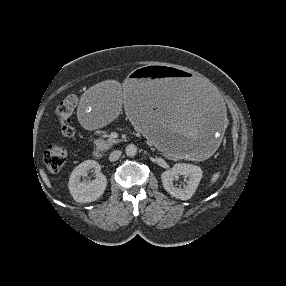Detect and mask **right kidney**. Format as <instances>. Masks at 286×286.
Returning <instances> with one entry per match:
<instances>
[{
	"instance_id": "1",
	"label": "right kidney",
	"mask_w": 286,
	"mask_h": 286,
	"mask_svg": "<svg viewBox=\"0 0 286 286\" xmlns=\"http://www.w3.org/2000/svg\"><path fill=\"white\" fill-rule=\"evenodd\" d=\"M89 171L96 173V178L90 182H81V177ZM101 167L95 160H86L72 171L68 188L74 200L79 203L93 202L100 198L107 186V178L101 172Z\"/></svg>"
}]
</instances>
